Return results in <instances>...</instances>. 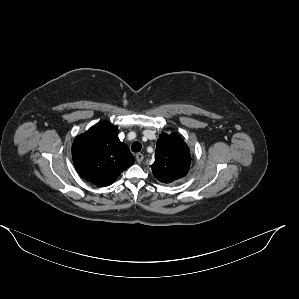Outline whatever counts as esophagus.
<instances>
[{"label":"esophagus","instance_id":"34e87169","mask_svg":"<svg viewBox=\"0 0 299 299\" xmlns=\"http://www.w3.org/2000/svg\"><path fill=\"white\" fill-rule=\"evenodd\" d=\"M143 159H144V156H143L142 153H137V154H136V161H137L138 163H141Z\"/></svg>","mask_w":299,"mask_h":299}]
</instances>
